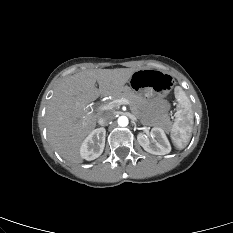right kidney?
Wrapping results in <instances>:
<instances>
[{
  "label": "right kidney",
  "instance_id": "obj_1",
  "mask_svg": "<svg viewBox=\"0 0 233 233\" xmlns=\"http://www.w3.org/2000/svg\"><path fill=\"white\" fill-rule=\"evenodd\" d=\"M106 130L99 128L93 130L80 146V155L88 161L98 158L105 146Z\"/></svg>",
  "mask_w": 233,
  "mask_h": 233
}]
</instances>
